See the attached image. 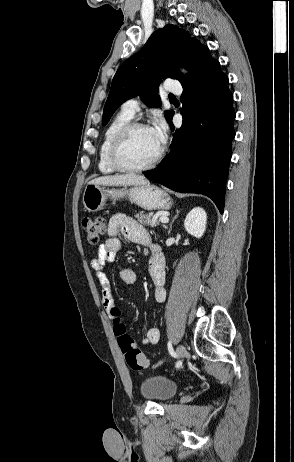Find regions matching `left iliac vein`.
I'll return each mask as SVG.
<instances>
[{"label":"left iliac vein","mask_w":294,"mask_h":462,"mask_svg":"<svg viewBox=\"0 0 294 462\" xmlns=\"http://www.w3.org/2000/svg\"><path fill=\"white\" fill-rule=\"evenodd\" d=\"M176 353L178 354L180 360L183 359L187 353L185 346H183L182 344L179 345L177 347Z\"/></svg>","instance_id":"1"}]
</instances>
